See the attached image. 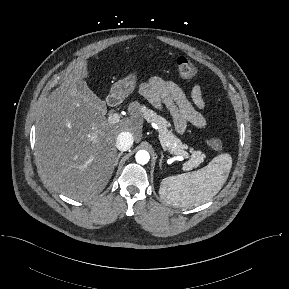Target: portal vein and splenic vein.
Wrapping results in <instances>:
<instances>
[{
  "label": "portal vein and splenic vein",
  "mask_w": 289,
  "mask_h": 289,
  "mask_svg": "<svg viewBox=\"0 0 289 289\" xmlns=\"http://www.w3.org/2000/svg\"><path fill=\"white\" fill-rule=\"evenodd\" d=\"M108 121L111 124H117L121 121V116L118 113H112L108 117ZM174 154L180 155L181 159L189 157V154L186 151H176V152H174Z\"/></svg>",
  "instance_id": "1"
}]
</instances>
